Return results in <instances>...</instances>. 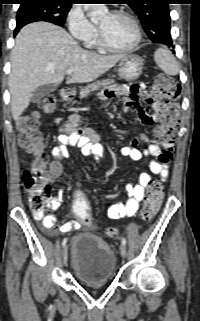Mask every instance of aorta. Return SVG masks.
<instances>
[{
	"instance_id": "aorta-1",
	"label": "aorta",
	"mask_w": 200,
	"mask_h": 321,
	"mask_svg": "<svg viewBox=\"0 0 200 321\" xmlns=\"http://www.w3.org/2000/svg\"><path fill=\"white\" fill-rule=\"evenodd\" d=\"M88 15L93 22L98 21L108 13L105 4H85Z\"/></svg>"
}]
</instances>
